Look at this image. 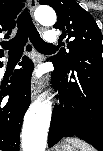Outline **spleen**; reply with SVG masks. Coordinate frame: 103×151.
Masks as SVG:
<instances>
[{"instance_id":"obj_1","label":"spleen","mask_w":103,"mask_h":151,"mask_svg":"<svg viewBox=\"0 0 103 151\" xmlns=\"http://www.w3.org/2000/svg\"><path fill=\"white\" fill-rule=\"evenodd\" d=\"M66 141L71 143L76 148H79L80 151H94V149L91 146H89L88 144H86L85 142L78 138H68L66 139Z\"/></svg>"}]
</instances>
